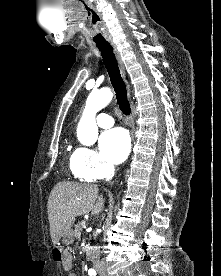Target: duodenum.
I'll return each mask as SVG.
<instances>
[{
  "label": "duodenum",
  "instance_id": "410a0bca",
  "mask_svg": "<svg viewBox=\"0 0 221 276\" xmlns=\"http://www.w3.org/2000/svg\"><path fill=\"white\" fill-rule=\"evenodd\" d=\"M90 254V251L89 250H87V255H89Z\"/></svg>",
  "mask_w": 221,
  "mask_h": 276
}]
</instances>
